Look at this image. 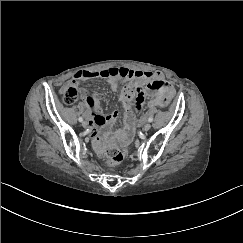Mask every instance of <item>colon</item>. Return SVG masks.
Instances as JSON below:
<instances>
[{
  "mask_svg": "<svg viewBox=\"0 0 243 243\" xmlns=\"http://www.w3.org/2000/svg\"><path fill=\"white\" fill-rule=\"evenodd\" d=\"M80 95L75 85H69L63 92L66 104L74 103ZM136 88H124L121 94V106L124 113V127L117 131L113 143L106 150L107 162L111 166H118L125 160L124 148L133 134V110L135 109Z\"/></svg>",
  "mask_w": 243,
  "mask_h": 243,
  "instance_id": "1",
  "label": "colon"
}]
</instances>
